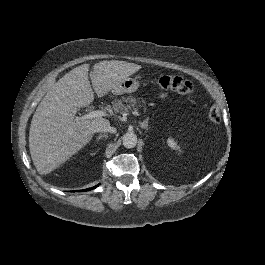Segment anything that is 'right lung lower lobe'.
Wrapping results in <instances>:
<instances>
[{"label": "right lung lower lobe", "instance_id": "1", "mask_svg": "<svg viewBox=\"0 0 265 265\" xmlns=\"http://www.w3.org/2000/svg\"><path fill=\"white\" fill-rule=\"evenodd\" d=\"M98 185H96L95 187H91V188H88V189H84V190H79L80 191H88V190H92L93 188H96Z\"/></svg>", "mask_w": 265, "mask_h": 265}]
</instances>
